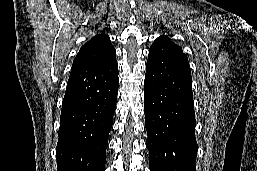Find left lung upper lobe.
<instances>
[{
  "label": "left lung upper lobe",
  "instance_id": "left-lung-upper-lobe-1",
  "mask_svg": "<svg viewBox=\"0 0 257 171\" xmlns=\"http://www.w3.org/2000/svg\"><path fill=\"white\" fill-rule=\"evenodd\" d=\"M163 47H180L173 43L170 38L166 36H160L152 44L151 48H163Z\"/></svg>",
  "mask_w": 257,
  "mask_h": 171
}]
</instances>
